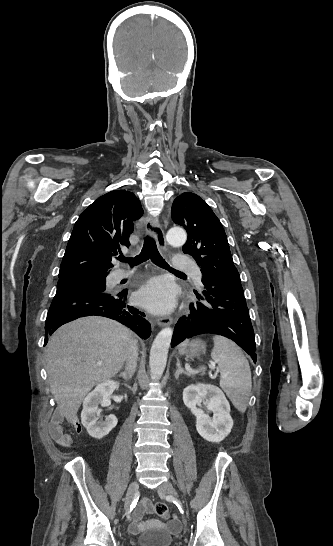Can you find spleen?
I'll return each mask as SVG.
<instances>
[{"mask_svg": "<svg viewBox=\"0 0 333 546\" xmlns=\"http://www.w3.org/2000/svg\"><path fill=\"white\" fill-rule=\"evenodd\" d=\"M212 359L218 364L220 386L225 391L233 405L240 412H245L252 387L251 370L248 360L241 349L230 339L214 336ZM188 341L180 345V353H184ZM203 372L205 367H202Z\"/></svg>", "mask_w": 333, "mask_h": 546, "instance_id": "spleen-1", "label": "spleen"}]
</instances>
